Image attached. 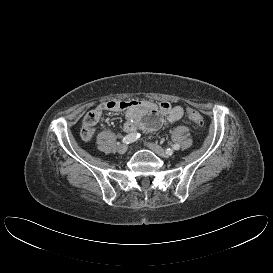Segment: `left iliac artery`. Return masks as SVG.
<instances>
[{
  "instance_id": "44dca946",
  "label": "left iliac artery",
  "mask_w": 273,
  "mask_h": 273,
  "mask_svg": "<svg viewBox=\"0 0 273 273\" xmlns=\"http://www.w3.org/2000/svg\"><path fill=\"white\" fill-rule=\"evenodd\" d=\"M179 149H180V145L179 144H174L171 148L168 147L166 149V152L171 155L173 153V150H179Z\"/></svg>"
}]
</instances>
